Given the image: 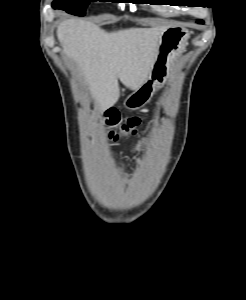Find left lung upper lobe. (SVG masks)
Masks as SVG:
<instances>
[{
  "instance_id": "1",
  "label": "left lung upper lobe",
  "mask_w": 246,
  "mask_h": 300,
  "mask_svg": "<svg viewBox=\"0 0 246 300\" xmlns=\"http://www.w3.org/2000/svg\"><path fill=\"white\" fill-rule=\"evenodd\" d=\"M197 22H198V23H203V21H202V20H198Z\"/></svg>"
}]
</instances>
